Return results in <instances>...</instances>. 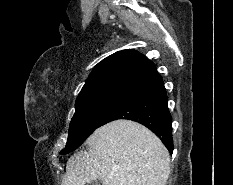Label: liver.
Here are the masks:
<instances>
[{
  "instance_id": "obj_1",
  "label": "liver",
  "mask_w": 233,
  "mask_h": 185,
  "mask_svg": "<svg viewBox=\"0 0 233 185\" xmlns=\"http://www.w3.org/2000/svg\"><path fill=\"white\" fill-rule=\"evenodd\" d=\"M88 150L71 156L61 185H165L170 156L161 140L145 126L116 120L96 129Z\"/></svg>"
}]
</instances>
